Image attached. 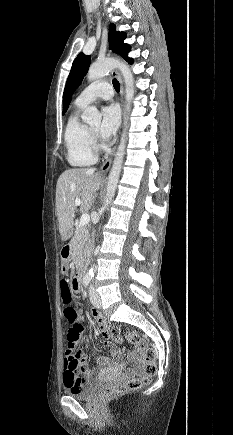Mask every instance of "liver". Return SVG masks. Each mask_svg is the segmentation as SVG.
Returning a JSON list of instances; mask_svg holds the SVG:
<instances>
[{"instance_id": "6515ba94", "label": "liver", "mask_w": 233, "mask_h": 435, "mask_svg": "<svg viewBox=\"0 0 233 435\" xmlns=\"http://www.w3.org/2000/svg\"><path fill=\"white\" fill-rule=\"evenodd\" d=\"M101 182V176L93 168L68 169L59 176L56 186V212L62 241L68 240L73 234L77 210L75 200L80 199V210L87 212Z\"/></svg>"}]
</instances>
